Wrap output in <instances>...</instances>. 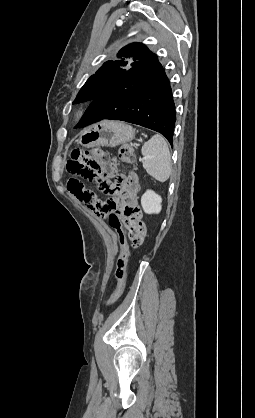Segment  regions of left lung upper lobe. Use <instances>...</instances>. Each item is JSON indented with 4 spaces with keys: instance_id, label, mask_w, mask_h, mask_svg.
<instances>
[{
    "instance_id": "left-lung-upper-lobe-1",
    "label": "left lung upper lobe",
    "mask_w": 255,
    "mask_h": 418,
    "mask_svg": "<svg viewBox=\"0 0 255 418\" xmlns=\"http://www.w3.org/2000/svg\"><path fill=\"white\" fill-rule=\"evenodd\" d=\"M153 53L141 43H132L118 53L119 60L105 62L79 91L73 104L92 101L113 85L131 67L139 64Z\"/></svg>"
}]
</instances>
